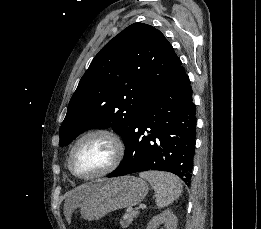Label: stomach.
<instances>
[{"label":"stomach","instance_id":"0dacf381","mask_svg":"<svg viewBox=\"0 0 261 229\" xmlns=\"http://www.w3.org/2000/svg\"><path fill=\"white\" fill-rule=\"evenodd\" d=\"M91 193L83 201L81 217L86 221H99L108 213L139 205L148 193V185L138 177H117V179H95L85 183Z\"/></svg>","mask_w":261,"mask_h":229}]
</instances>
